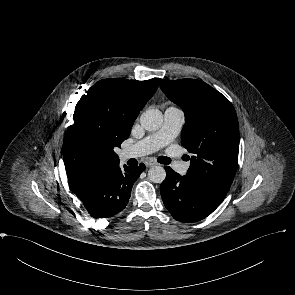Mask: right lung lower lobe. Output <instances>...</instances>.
Returning a JSON list of instances; mask_svg holds the SVG:
<instances>
[{"label":"right lung lower lobe","mask_w":295,"mask_h":295,"mask_svg":"<svg viewBox=\"0 0 295 295\" xmlns=\"http://www.w3.org/2000/svg\"><path fill=\"white\" fill-rule=\"evenodd\" d=\"M144 169L142 163L138 167L124 165L123 170L119 163L105 166L91 172L73 192L92 217H112L126 207L132 186Z\"/></svg>","instance_id":"obj_1"}]
</instances>
